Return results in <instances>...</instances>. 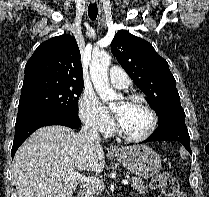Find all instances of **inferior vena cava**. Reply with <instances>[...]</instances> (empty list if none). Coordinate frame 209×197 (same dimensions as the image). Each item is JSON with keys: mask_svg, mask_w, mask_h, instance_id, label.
<instances>
[{"mask_svg": "<svg viewBox=\"0 0 209 197\" xmlns=\"http://www.w3.org/2000/svg\"><path fill=\"white\" fill-rule=\"evenodd\" d=\"M79 134L82 136L89 137L94 142H99L101 139L98 130L95 128H90L89 126H83ZM85 197H87V195Z\"/></svg>", "mask_w": 209, "mask_h": 197, "instance_id": "obj_1", "label": "inferior vena cava"}]
</instances>
